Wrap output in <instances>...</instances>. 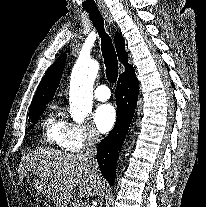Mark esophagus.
<instances>
[{
    "mask_svg": "<svg viewBox=\"0 0 206 207\" xmlns=\"http://www.w3.org/2000/svg\"><path fill=\"white\" fill-rule=\"evenodd\" d=\"M102 14H103L104 18L106 19V21L109 24H112L113 23L112 17H111L110 13L107 10H103L102 11Z\"/></svg>",
    "mask_w": 206,
    "mask_h": 207,
    "instance_id": "esophagus-1",
    "label": "esophagus"
}]
</instances>
